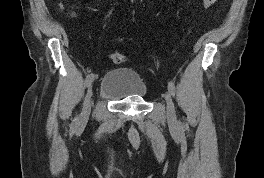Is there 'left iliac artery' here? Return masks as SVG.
Returning <instances> with one entry per match:
<instances>
[{"label": "left iliac artery", "mask_w": 264, "mask_h": 178, "mask_svg": "<svg viewBox=\"0 0 264 178\" xmlns=\"http://www.w3.org/2000/svg\"><path fill=\"white\" fill-rule=\"evenodd\" d=\"M168 90H169V92H170V94H171L172 96H175V91H176V89H175V85H174L173 82H169V83H168Z\"/></svg>", "instance_id": "left-iliac-artery-1"}]
</instances>
